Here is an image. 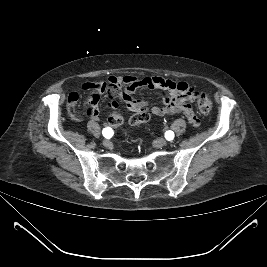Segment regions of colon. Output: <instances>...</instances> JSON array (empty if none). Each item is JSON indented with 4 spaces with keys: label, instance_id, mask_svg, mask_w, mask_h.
<instances>
[{
    "label": "colon",
    "instance_id": "5ec220e1",
    "mask_svg": "<svg viewBox=\"0 0 267 267\" xmlns=\"http://www.w3.org/2000/svg\"><path fill=\"white\" fill-rule=\"evenodd\" d=\"M198 109L202 114H209L212 110V101L210 97L204 93L200 92L197 100ZM150 118V111L147 108L139 107L130 119L132 126H139L147 122ZM108 125L117 128L122 123V116L119 112L115 111L108 117Z\"/></svg>",
    "mask_w": 267,
    "mask_h": 267
}]
</instances>
